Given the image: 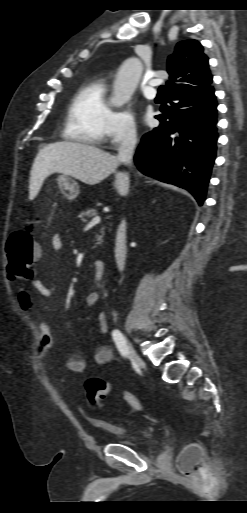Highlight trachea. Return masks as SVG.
Masks as SVG:
<instances>
[{"mask_svg":"<svg viewBox=\"0 0 247 513\" xmlns=\"http://www.w3.org/2000/svg\"><path fill=\"white\" fill-rule=\"evenodd\" d=\"M164 90H165V86L162 85V86L159 87L158 93L162 94Z\"/></svg>","mask_w":247,"mask_h":513,"instance_id":"obj_1","label":"trachea"}]
</instances>
